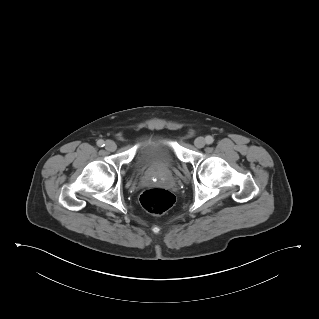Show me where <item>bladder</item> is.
I'll list each match as a JSON object with an SVG mask.
<instances>
[{
  "label": "bladder",
  "instance_id": "1",
  "mask_svg": "<svg viewBox=\"0 0 319 319\" xmlns=\"http://www.w3.org/2000/svg\"><path fill=\"white\" fill-rule=\"evenodd\" d=\"M177 161L172 136L165 132H151L138 144L133 167L137 171L149 168H172Z\"/></svg>",
  "mask_w": 319,
  "mask_h": 319
}]
</instances>
